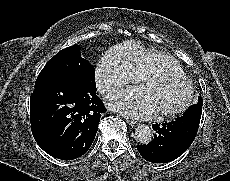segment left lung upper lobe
<instances>
[{"instance_id": "left-lung-upper-lobe-1", "label": "left lung upper lobe", "mask_w": 230, "mask_h": 181, "mask_svg": "<svg viewBox=\"0 0 230 181\" xmlns=\"http://www.w3.org/2000/svg\"><path fill=\"white\" fill-rule=\"evenodd\" d=\"M202 104H203V100H202L201 97H199L198 103H197V104H194V105L199 106V107H202Z\"/></svg>"}]
</instances>
